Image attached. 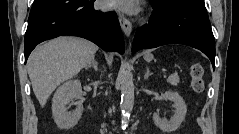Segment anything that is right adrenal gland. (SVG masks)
<instances>
[{"label": "right adrenal gland", "instance_id": "2a0ac1e0", "mask_svg": "<svg viewBox=\"0 0 239 134\" xmlns=\"http://www.w3.org/2000/svg\"><path fill=\"white\" fill-rule=\"evenodd\" d=\"M91 67H93L95 71H98V62L95 59H93L92 62L85 68L89 69Z\"/></svg>", "mask_w": 239, "mask_h": 134}]
</instances>
